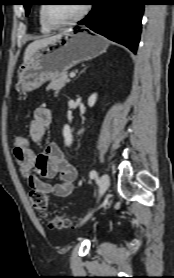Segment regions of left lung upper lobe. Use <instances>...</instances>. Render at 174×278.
<instances>
[{"mask_svg": "<svg viewBox=\"0 0 174 278\" xmlns=\"http://www.w3.org/2000/svg\"><path fill=\"white\" fill-rule=\"evenodd\" d=\"M23 5L25 7L26 10V15H28L29 10H30V6L33 4L34 0H23Z\"/></svg>", "mask_w": 174, "mask_h": 278, "instance_id": "obj_1", "label": "left lung upper lobe"}]
</instances>
